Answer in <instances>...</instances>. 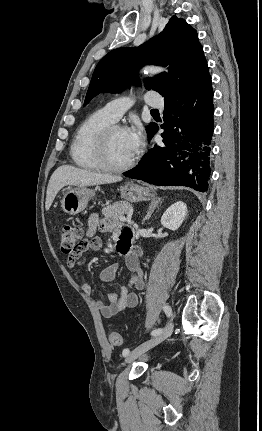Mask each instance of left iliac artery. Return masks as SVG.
Here are the masks:
<instances>
[{"label":"left iliac artery","instance_id":"obj_1","mask_svg":"<svg viewBox=\"0 0 262 431\" xmlns=\"http://www.w3.org/2000/svg\"><path fill=\"white\" fill-rule=\"evenodd\" d=\"M163 309H164L165 313L167 314V316H171V308H170V306L165 305L163 307ZM161 331H162V329H155V330H153L151 332V335L155 336V335L159 334ZM128 354H129V349H124L123 352H122V355L123 356H127Z\"/></svg>","mask_w":262,"mask_h":431}]
</instances>
